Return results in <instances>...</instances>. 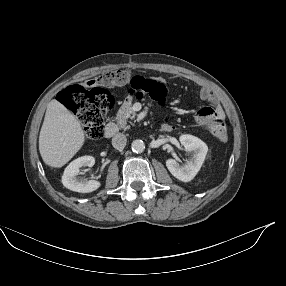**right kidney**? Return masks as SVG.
<instances>
[{"mask_svg": "<svg viewBox=\"0 0 286 286\" xmlns=\"http://www.w3.org/2000/svg\"><path fill=\"white\" fill-rule=\"evenodd\" d=\"M95 159L92 156H82L72 161L64 171L62 176L63 185L75 192L89 193L100 187V182L96 180H79L77 175L83 166H93Z\"/></svg>", "mask_w": 286, "mask_h": 286, "instance_id": "1", "label": "right kidney"}]
</instances>
